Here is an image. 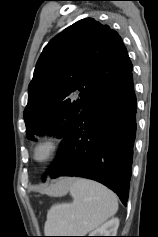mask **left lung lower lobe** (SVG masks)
I'll return each instance as SVG.
<instances>
[{"mask_svg":"<svg viewBox=\"0 0 158 237\" xmlns=\"http://www.w3.org/2000/svg\"><path fill=\"white\" fill-rule=\"evenodd\" d=\"M132 70L101 90L63 138L47 176H77L112 189L126 205L136 135Z\"/></svg>","mask_w":158,"mask_h":237,"instance_id":"1","label":"left lung lower lobe"}]
</instances>
